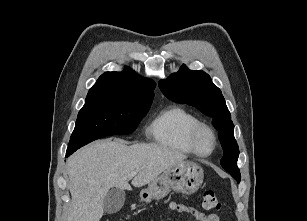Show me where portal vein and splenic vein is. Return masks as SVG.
Returning a JSON list of instances; mask_svg holds the SVG:
<instances>
[{
    "label": "portal vein and splenic vein",
    "instance_id": "18ae733b",
    "mask_svg": "<svg viewBox=\"0 0 307 221\" xmlns=\"http://www.w3.org/2000/svg\"><path fill=\"white\" fill-rule=\"evenodd\" d=\"M137 172H138V171L132 172V173L128 174V178H129V179L133 178V177L137 174Z\"/></svg>",
    "mask_w": 307,
    "mask_h": 221
}]
</instances>
